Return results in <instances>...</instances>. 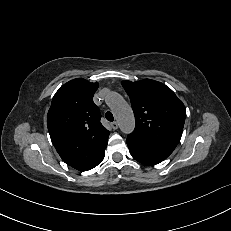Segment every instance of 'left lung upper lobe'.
I'll list each match as a JSON object with an SVG mask.
<instances>
[{"label": "left lung upper lobe", "mask_w": 231, "mask_h": 231, "mask_svg": "<svg viewBox=\"0 0 231 231\" xmlns=\"http://www.w3.org/2000/svg\"><path fill=\"white\" fill-rule=\"evenodd\" d=\"M134 111L135 130L127 140L143 150L169 156L182 134L186 110L184 104L166 85L144 79L123 81Z\"/></svg>", "instance_id": "5c2ea615"}]
</instances>
